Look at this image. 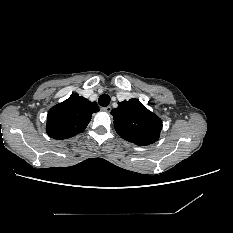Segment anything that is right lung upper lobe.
<instances>
[{
	"instance_id": "obj_1",
	"label": "right lung upper lobe",
	"mask_w": 233,
	"mask_h": 233,
	"mask_svg": "<svg viewBox=\"0 0 233 233\" xmlns=\"http://www.w3.org/2000/svg\"><path fill=\"white\" fill-rule=\"evenodd\" d=\"M98 111L96 102H90L74 93L49 110L46 131L54 139L71 138L83 132L91 120L92 113Z\"/></svg>"
}]
</instances>
